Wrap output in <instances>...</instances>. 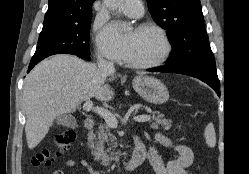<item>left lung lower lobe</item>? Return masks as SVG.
Listing matches in <instances>:
<instances>
[{"instance_id":"left-lung-lower-lobe-1","label":"left lung lower lobe","mask_w":249,"mask_h":174,"mask_svg":"<svg viewBox=\"0 0 249 174\" xmlns=\"http://www.w3.org/2000/svg\"><path fill=\"white\" fill-rule=\"evenodd\" d=\"M148 71L179 73L198 78L212 87L220 97V82L217 76L216 64H195L179 69L171 68L166 65L158 69H148Z\"/></svg>"}]
</instances>
